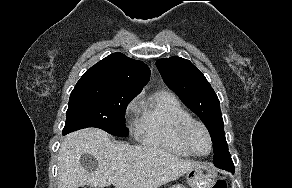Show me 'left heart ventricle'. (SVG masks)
<instances>
[{"instance_id": "obj_1", "label": "left heart ventricle", "mask_w": 292, "mask_h": 188, "mask_svg": "<svg viewBox=\"0 0 292 188\" xmlns=\"http://www.w3.org/2000/svg\"><path fill=\"white\" fill-rule=\"evenodd\" d=\"M189 141L192 147L201 154H205L209 150V140L207 135L200 127H193L189 134Z\"/></svg>"}]
</instances>
